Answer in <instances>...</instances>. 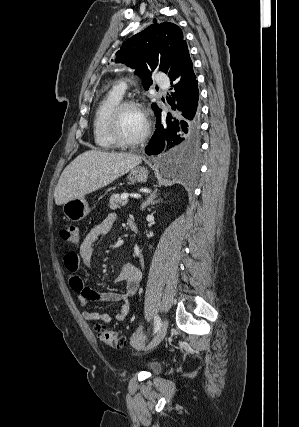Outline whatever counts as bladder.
Masks as SVG:
<instances>
[{
  "label": "bladder",
  "instance_id": "bladder-1",
  "mask_svg": "<svg viewBox=\"0 0 299 427\" xmlns=\"http://www.w3.org/2000/svg\"><path fill=\"white\" fill-rule=\"evenodd\" d=\"M161 370H162V366L160 363L150 362L147 364V371L152 375L160 373Z\"/></svg>",
  "mask_w": 299,
  "mask_h": 427
}]
</instances>
